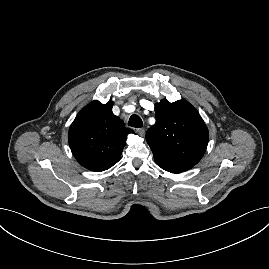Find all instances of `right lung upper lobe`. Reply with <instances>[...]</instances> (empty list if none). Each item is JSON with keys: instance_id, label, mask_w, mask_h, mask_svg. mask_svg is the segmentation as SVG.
<instances>
[{"instance_id": "1", "label": "right lung upper lobe", "mask_w": 269, "mask_h": 269, "mask_svg": "<svg viewBox=\"0 0 269 269\" xmlns=\"http://www.w3.org/2000/svg\"><path fill=\"white\" fill-rule=\"evenodd\" d=\"M112 102L93 101L84 107L70 126L68 140L76 160L92 171L115 165L133 130L112 112Z\"/></svg>"}]
</instances>
